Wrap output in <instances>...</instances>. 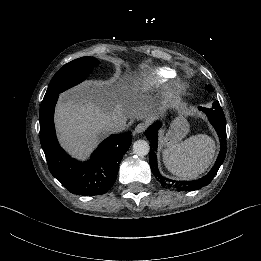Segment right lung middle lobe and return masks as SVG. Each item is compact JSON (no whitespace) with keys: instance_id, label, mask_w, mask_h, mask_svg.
Returning a JSON list of instances; mask_svg holds the SVG:
<instances>
[{"instance_id":"1","label":"right lung middle lobe","mask_w":261,"mask_h":261,"mask_svg":"<svg viewBox=\"0 0 261 261\" xmlns=\"http://www.w3.org/2000/svg\"><path fill=\"white\" fill-rule=\"evenodd\" d=\"M99 64L94 57H81L65 64L51 80L44 99L59 94L86 79Z\"/></svg>"}]
</instances>
